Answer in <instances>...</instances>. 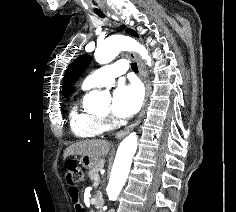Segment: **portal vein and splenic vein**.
I'll list each match as a JSON object with an SVG mask.
<instances>
[{"instance_id":"portal-vein-and-splenic-vein-1","label":"portal vein and splenic vein","mask_w":236,"mask_h":212,"mask_svg":"<svg viewBox=\"0 0 236 212\" xmlns=\"http://www.w3.org/2000/svg\"><path fill=\"white\" fill-rule=\"evenodd\" d=\"M96 180H97V181H99V177H98V178H96Z\"/></svg>"}]
</instances>
